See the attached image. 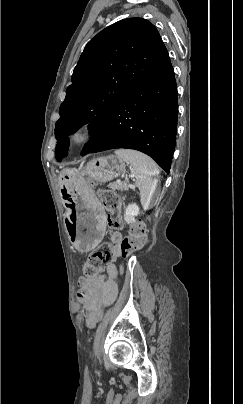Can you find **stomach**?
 Segmentation results:
<instances>
[{
  "label": "stomach",
  "mask_w": 243,
  "mask_h": 404,
  "mask_svg": "<svg viewBox=\"0 0 243 404\" xmlns=\"http://www.w3.org/2000/svg\"><path fill=\"white\" fill-rule=\"evenodd\" d=\"M124 170V160L109 155L91 160L83 171L65 169L60 174L61 196L67 207L65 228L78 251L93 250L103 238L106 228L105 211L85 176L105 183L119 177Z\"/></svg>",
  "instance_id": "0dacf381"
}]
</instances>
